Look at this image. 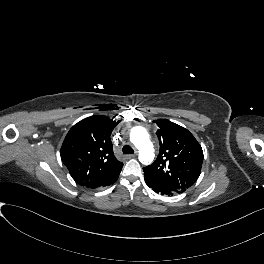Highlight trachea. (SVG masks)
Masks as SVG:
<instances>
[{"label": "trachea", "mask_w": 264, "mask_h": 264, "mask_svg": "<svg viewBox=\"0 0 264 264\" xmlns=\"http://www.w3.org/2000/svg\"><path fill=\"white\" fill-rule=\"evenodd\" d=\"M124 154H133L134 150L129 145H125L122 149Z\"/></svg>", "instance_id": "3493384b"}]
</instances>
